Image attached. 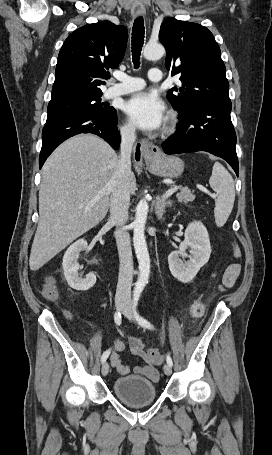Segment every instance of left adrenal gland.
I'll list each match as a JSON object with an SVG mask.
<instances>
[{
	"instance_id": "left-adrenal-gland-1",
	"label": "left adrenal gland",
	"mask_w": 272,
	"mask_h": 455,
	"mask_svg": "<svg viewBox=\"0 0 272 455\" xmlns=\"http://www.w3.org/2000/svg\"><path fill=\"white\" fill-rule=\"evenodd\" d=\"M172 205V201L171 200H165L164 199V196H162L161 198L158 197L157 200H156V215H157V218L158 220H161L163 219V214L165 213V208L166 207H170Z\"/></svg>"
}]
</instances>
